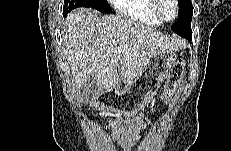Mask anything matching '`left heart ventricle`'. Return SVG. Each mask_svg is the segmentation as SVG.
<instances>
[{
	"label": "left heart ventricle",
	"mask_w": 231,
	"mask_h": 151,
	"mask_svg": "<svg viewBox=\"0 0 231 151\" xmlns=\"http://www.w3.org/2000/svg\"><path fill=\"white\" fill-rule=\"evenodd\" d=\"M160 12L165 18H171L174 15V6L171 0H161Z\"/></svg>",
	"instance_id": "obj_1"
}]
</instances>
